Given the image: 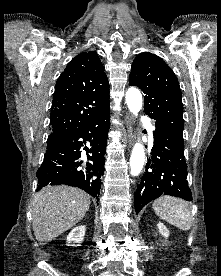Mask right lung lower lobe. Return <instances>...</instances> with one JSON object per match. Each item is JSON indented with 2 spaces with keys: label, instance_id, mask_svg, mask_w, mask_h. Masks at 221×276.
<instances>
[{
  "label": "right lung lower lobe",
  "instance_id": "right-lung-lower-lobe-1",
  "mask_svg": "<svg viewBox=\"0 0 221 276\" xmlns=\"http://www.w3.org/2000/svg\"><path fill=\"white\" fill-rule=\"evenodd\" d=\"M109 120L110 108H107L67 136L61 145L48 149L36 173L37 190L48 184H65L82 188L98 199L104 173ZM86 143L90 147H84L87 158L83 160L80 148Z\"/></svg>",
  "mask_w": 221,
  "mask_h": 276
}]
</instances>
